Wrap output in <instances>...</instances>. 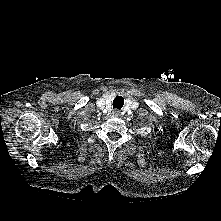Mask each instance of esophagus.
Here are the masks:
<instances>
[{"label": "esophagus", "mask_w": 221, "mask_h": 221, "mask_svg": "<svg viewBox=\"0 0 221 221\" xmlns=\"http://www.w3.org/2000/svg\"><path fill=\"white\" fill-rule=\"evenodd\" d=\"M114 114H115V116H119L120 112L116 110V111H114Z\"/></svg>", "instance_id": "34e87169"}]
</instances>
